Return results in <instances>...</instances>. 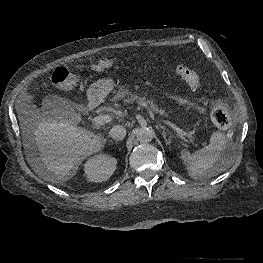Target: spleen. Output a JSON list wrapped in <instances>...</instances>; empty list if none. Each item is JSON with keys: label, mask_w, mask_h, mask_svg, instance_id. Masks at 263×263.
I'll return each instance as SVG.
<instances>
[{"label": "spleen", "mask_w": 263, "mask_h": 263, "mask_svg": "<svg viewBox=\"0 0 263 263\" xmlns=\"http://www.w3.org/2000/svg\"><path fill=\"white\" fill-rule=\"evenodd\" d=\"M234 145L231 144L220 131L213 132L210 143L194 152L181 150L180 158L187 164V172L193 179L207 176L211 168L224 171L233 163L232 152Z\"/></svg>", "instance_id": "3e777b00"}]
</instances>
